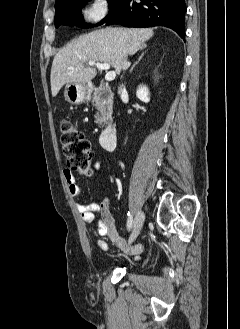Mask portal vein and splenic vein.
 Listing matches in <instances>:
<instances>
[{
    "label": "portal vein and splenic vein",
    "instance_id": "18ae733b",
    "mask_svg": "<svg viewBox=\"0 0 240 329\" xmlns=\"http://www.w3.org/2000/svg\"><path fill=\"white\" fill-rule=\"evenodd\" d=\"M89 66H96L98 69L101 70H108L110 68V65L107 63H99V62H94V61H89L88 62ZM73 69V68H72ZM116 77V73L115 71H109L106 75H105V80L106 81H112L114 80Z\"/></svg>",
    "mask_w": 240,
    "mask_h": 329
}]
</instances>
